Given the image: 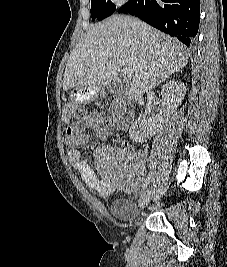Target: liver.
Masks as SVG:
<instances>
[{"label":"liver","mask_w":227,"mask_h":267,"mask_svg":"<svg viewBox=\"0 0 227 267\" xmlns=\"http://www.w3.org/2000/svg\"><path fill=\"white\" fill-rule=\"evenodd\" d=\"M187 63L188 49L178 40L133 17L113 15L91 26L76 45L62 84L65 91L108 86L121 67H129V92L142 95Z\"/></svg>","instance_id":"1"}]
</instances>
